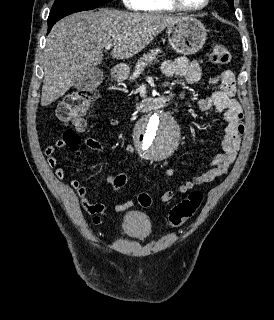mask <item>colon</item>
I'll return each instance as SVG.
<instances>
[{
  "instance_id": "1",
  "label": "colon",
  "mask_w": 274,
  "mask_h": 320,
  "mask_svg": "<svg viewBox=\"0 0 274 320\" xmlns=\"http://www.w3.org/2000/svg\"><path fill=\"white\" fill-rule=\"evenodd\" d=\"M230 50L224 43L217 42L213 44L210 53V61L214 65H225L231 62ZM98 99V93L93 89H78L70 91L56 111V117L66 126L63 136L58 143H72L73 149L80 143V135L69 127V120H84L85 113L93 106ZM113 188L116 191L123 189L126 185V175H115ZM203 196L199 191H193L187 198L178 202L169 212V222L173 226H179L190 219L195 211L200 207ZM141 205H151V199L141 194L139 196Z\"/></svg>"
}]
</instances>
